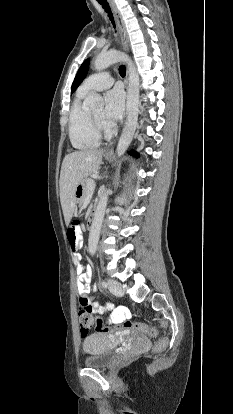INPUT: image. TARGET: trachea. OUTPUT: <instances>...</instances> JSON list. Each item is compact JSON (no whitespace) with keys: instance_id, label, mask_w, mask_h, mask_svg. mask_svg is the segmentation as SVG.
Masks as SVG:
<instances>
[{"instance_id":"trachea-1","label":"trachea","mask_w":233,"mask_h":414,"mask_svg":"<svg viewBox=\"0 0 233 414\" xmlns=\"http://www.w3.org/2000/svg\"><path fill=\"white\" fill-rule=\"evenodd\" d=\"M98 3L102 6V8L105 10V12L108 14V17L110 18L113 26L115 27V22H114V18H113V14L111 12V9L109 7V4L107 3L106 0H97ZM119 74L124 77L126 74V68L124 65H121L119 67Z\"/></svg>"}]
</instances>
